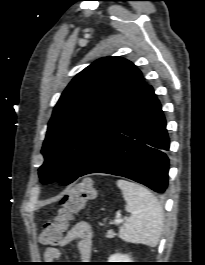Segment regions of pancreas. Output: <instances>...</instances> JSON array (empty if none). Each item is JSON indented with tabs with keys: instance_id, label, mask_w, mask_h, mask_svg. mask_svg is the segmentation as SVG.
Wrapping results in <instances>:
<instances>
[{
	"instance_id": "1",
	"label": "pancreas",
	"mask_w": 205,
	"mask_h": 265,
	"mask_svg": "<svg viewBox=\"0 0 205 265\" xmlns=\"http://www.w3.org/2000/svg\"><path fill=\"white\" fill-rule=\"evenodd\" d=\"M116 234L112 231V230H109L107 233H106V237L107 238H113Z\"/></svg>"
}]
</instances>
